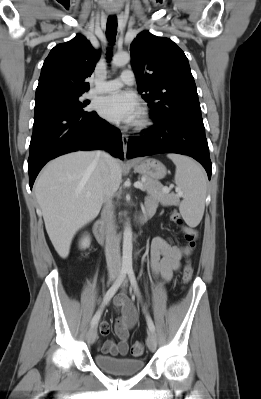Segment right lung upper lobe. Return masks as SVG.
I'll return each instance as SVG.
<instances>
[{"label":"right lung upper lobe","mask_w":261,"mask_h":399,"mask_svg":"<svg viewBox=\"0 0 261 399\" xmlns=\"http://www.w3.org/2000/svg\"><path fill=\"white\" fill-rule=\"evenodd\" d=\"M98 58L99 52L80 34L56 45L42 66L35 100L88 91L84 80L91 76Z\"/></svg>","instance_id":"obj_1"}]
</instances>
